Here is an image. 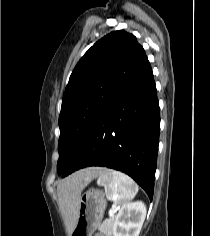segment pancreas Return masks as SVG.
I'll list each match as a JSON object with an SVG mask.
<instances>
[{
  "instance_id": "pancreas-1",
  "label": "pancreas",
  "mask_w": 210,
  "mask_h": 236,
  "mask_svg": "<svg viewBox=\"0 0 210 236\" xmlns=\"http://www.w3.org/2000/svg\"><path fill=\"white\" fill-rule=\"evenodd\" d=\"M114 221H115L114 215H112L109 219L104 220L100 226V231L105 233L107 236H110Z\"/></svg>"
}]
</instances>
